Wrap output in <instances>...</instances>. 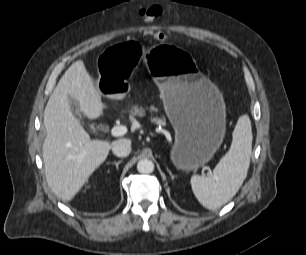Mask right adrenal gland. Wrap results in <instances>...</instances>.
<instances>
[{
  "label": "right adrenal gland",
  "instance_id": "obj_1",
  "mask_svg": "<svg viewBox=\"0 0 306 255\" xmlns=\"http://www.w3.org/2000/svg\"><path fill=\"white\" fill-rule=\"evenodd\" d=\"M123 161L122 160H119V161H114V162H111L110 164H113V165H115L116 166V169L118 170V166H119V164L120 163H122Z\"/></svg>",
  "mask_w": 306,
  "mask_h": 255
}]
</instances>
